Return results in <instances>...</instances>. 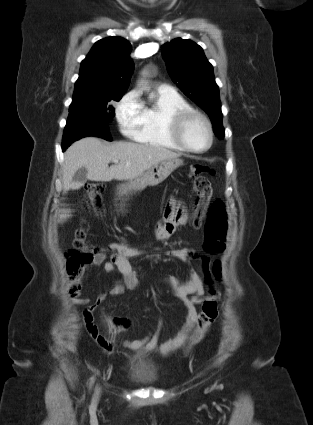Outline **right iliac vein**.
I'll list each match as a JSON object with an SVG mask.
<instances>
[{"mask_svg":"<svg viewBox=\"0 0 313 425\" xmlns=\"http://www.w3.org/2000/svg\"><path fill=\"white\" fill-rule=\"evenodd\" d=\"M99 393H100V390H99V389H97L96 394H95V397H94V401H96V400H97V398H98V396H99Z\"/></svg>","mask_w":313,"mask_h":425,"instance_id":"obj_1","label":"right iliac vein"}]
</instances>
